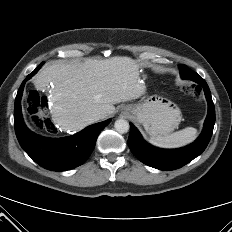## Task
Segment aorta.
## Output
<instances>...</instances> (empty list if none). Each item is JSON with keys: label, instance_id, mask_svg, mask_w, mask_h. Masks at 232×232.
<instances>
[{"label": "aorta", "instance_id": "762f6f07", "mask_svg": "<svg viewBox=\"0 0 232 232\" xmlns=\"http://www.w3.org/2000/svg\"><path fill=\"white\" fill-rule=\"evenodd\" d=\"M114 128L118 133H127L129 130V123L125 119H118L115 121Z\"/></svg>", "mask_w": 232, "mask_h": 232}]
</instances>
